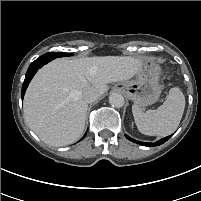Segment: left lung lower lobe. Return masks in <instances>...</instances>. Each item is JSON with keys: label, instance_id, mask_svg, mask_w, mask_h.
Returning a JSON list of instances; mask_svg holds the SVG:
<instances>
[{"label": "left lung lower lobe", "instance_id": "1", "mask_svg": "<svg viewBox=\"0 0 201 201\" xmlns=\"http://www.w3.org/2000/svg\"><path fill=\"white\" fill-rule=\"evenodd\" d=\"M126 138L134 143H137V144H140V145H144V146H148V147H154V146H159L163 143H165L170 137V136H167V137H164L162 139H160L159 141L155 142V143H145V142H140V141H137V140H134L132 138H130L128 135H125Z\"/></svg>", "mask_w": 201, "mask_h": 201}]
</instances>
